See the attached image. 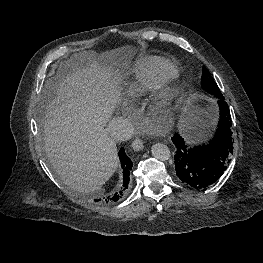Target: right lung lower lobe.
<instances>
[{"label":"right lung lower lobe","mask_w":263,"mask_h":263,"mask_svg":"<svg viewBox=\"0 0 263 263\" xmlns=\"http://www.w3.org/2000/svg\"><path fill=\"white\" fill-rule=\"evenodd\" d=\"M119 158L121 162V167L123 169V190H125L128 187L129 173L130 170L132 169L133 163L130 160V158L125 154L124 148L120 149ZM123 190H121L119 193L114 194V196L108 197L105 200V202L112 203L118 201L123 194ZM99 200H95V201H99Z\"/></svg>","instance_id":"1"}]
</instances>
